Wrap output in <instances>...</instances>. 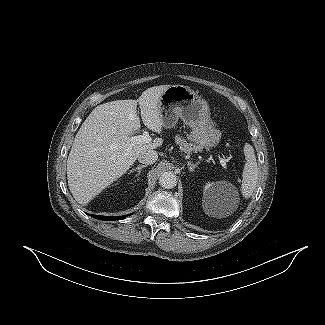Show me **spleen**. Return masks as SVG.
I'll return each mask as SVG.
<instances>
[{"label":"spleen","instance_id":"1","mask_svg":"<svg viewBox=\"0 0 325 325\" xmlns=\"http://www.w3.org/2000/svg\"><path fill=\"white\" fill-rule=\"evenodd\" d=\"M244 155L246 163L242 173L241 193L245 198L251 197L258 180V166L254 153V148L250 144H245Z\"/></svg>","mask_w":325,"mask_h":325}]
</instances>
